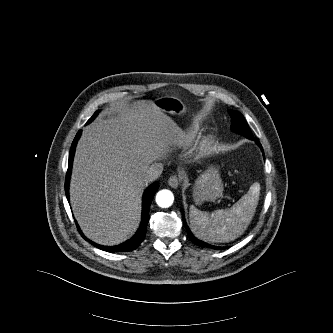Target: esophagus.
<instances>
[{"label": "esophagus", "instance_id": "obj_1", "mask_svg": "<svg viewBox=\"0 0 333 333\" xmlns=\"http://www.w3.org/2000/svg\"><path fill=\"white\" fill-rule=\"evenodd\" d=\"M168 184H169L170 187L176 189L180 184V178L176 175H173L169 178Z\"/></svg>", "mask_w": 333, "mask_h": 333}]
</instances>
